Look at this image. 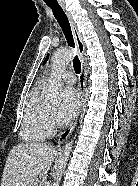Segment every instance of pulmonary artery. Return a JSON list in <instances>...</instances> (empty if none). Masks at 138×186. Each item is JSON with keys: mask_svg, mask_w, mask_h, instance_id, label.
I'll return each mask as SVG.
<instances>
[{"mask_svg": "<svg viewBox=\"0 0 138 186\" xmlns=\"http://www.w3.org/2000/svg\"><path fill=\"white\" fill-rule=\"evenodd\" d=\"M61 78H62V81H64L67 84H70V85H72L76 82L75 74L71 71L64 72L62 74Z\"/></svg>", "mask_w": 138, "mask_h": 186, "instance_id": "pulmonary-artery-1", "label": "pulmonary artery"}]
</instances>
